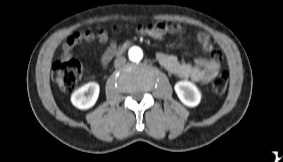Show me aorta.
Wrapping results in <instances>:
<instances>
[{
	"mask_svg": "<svg viewBox=\"0 0 283 162\" xmlns=\"http://www.w3.org/2000/svg\"><path fill=\"white\" fill-rule=\"evenodd\" d=\"M131 61H140L143 57V52L139 47H132L128 52Z\"/></svg>",
	"mask_w": 283,
	"mask_h": 162,
	"instance_id": "762f6f07",
	"label": "aorta"
}]
</instances>
